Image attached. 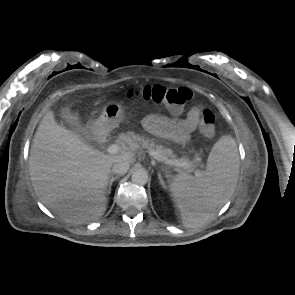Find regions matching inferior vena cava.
<instances>
[{"label":"inferior vena cava","instance_id":"1","mask_svg":"<svg viewBox=\"0 0 295 295\" xmlns=\"http://www.w3.org/2000/svg\"><path fill=\"white\" fill-rule=\"evenodd\" d=\"M129 167H130L129 162L120 160L113 164L112 172L117 175H124L127 173Z\"/></svg>","mask_w":295,"mask_h":295}]
</instances>
